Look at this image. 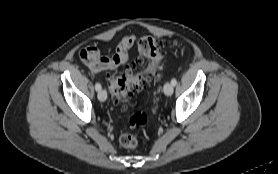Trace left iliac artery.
I'll return each mask as SVG.
<instances>
[{
	"mask_svg": "<svg viewBox=\"0 0 278 174\" xmlns=\"http://www.w3.org/2000/svg\"><path fill=\"white\" fill-rule=\"evenodd\" d=\"M171 84H172L173 86H176L177 80H176L175 78H173V79L171 80Z\"/></svg>",
	"mask_w": 278,
	"mask_h": 174,
	"instance_id": "obj_1",
	"label": "left iliac artery"
}]
</instances>
